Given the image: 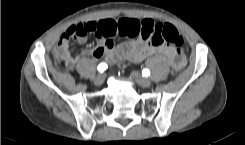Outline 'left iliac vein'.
<instances>
[{"label": "left iliac vein", "mask_w": 245, "mask_h": 145, "mask_svg": "<svg viewBox=\"0 0 245 145\" xmlns=\"http://www.w3.org/2000/svg\"><path fill=\"white\" fill-rule=\"evenodd\" d=\"M133 80L141 87L147 88L151 85V81L141 76V74L137 71H133L131 74Z\"/></svg>", "instance_id": "1"}]
</instances>
